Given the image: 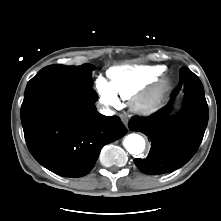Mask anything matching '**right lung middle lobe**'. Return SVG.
<instances>
[{
    "instance_id": "right-lung-middle-lobe-1",
    "label": "right lung middle lobe",
    "mask_w": 221,
    "mask_h": 221,
    "mask_svg": "<svg viewBox=\"0 0 221 221\" xmlns=\"http://www.w3.org/2000/svg\"><path fill=\"white\" fill-rule=\"evenodd\" d=\"M91 64L81 66L49 65L41 69L29 82L49 81L66 86L83 88L92 87Z\"/></svg>"
}]
</instances>
